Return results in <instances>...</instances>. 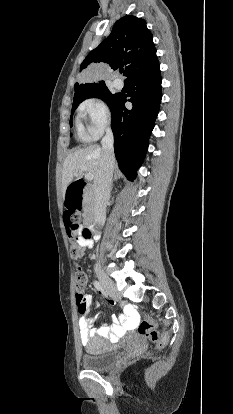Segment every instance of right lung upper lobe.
Masks as SVG:
<instances>
[{
  "instance_id": "obj_1",
  "label": "right lung upper lobe",
  "mask_w": 233,
  "mask_h": 414,
  "mask_svg": "<svg viewBox=\"0 0 233 414\" xmlns=\"http://www.w3.org/2000/svg\"><path fill=\"white\" fill-rule=\"evenodd\" d=\"M100 63L108 64L114 70L125 66L124 75L128 80L156 69L159 62L146 22L132 15L119 19L110 35L82 62L81 71L85 75L90 74ZM101 85H105V82L76 83L74 100Z\"/></svg>"
}]
</instances>
